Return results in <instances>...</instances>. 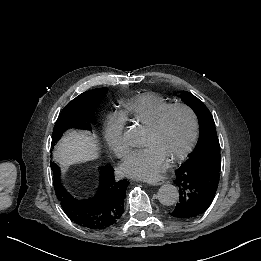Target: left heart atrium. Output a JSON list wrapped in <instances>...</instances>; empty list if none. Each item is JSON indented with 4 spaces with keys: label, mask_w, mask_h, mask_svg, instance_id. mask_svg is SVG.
<instances>
[{
    "label": "left heart atrium",
    "mask_w": 261,
    "mask_h": 261,
    "mask_svg": "<svg viewBox=\"0 0 261 261\" xmlns=\"http://www.w3.org/2000/svg\"><path fill=\"white\" fill-rule=\"evenodd\" d=\"M165 161L155 145L145 144L128 151L121 163V170L130 177L151 180L164 172Z\"/></svg>",
    "instance_id": "obj_1"
}]
</instances>
